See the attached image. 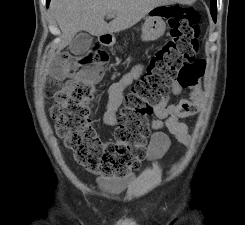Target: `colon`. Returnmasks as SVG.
<instances>
[{"label":"colon","mask_w":245,"mask_h":225,"mask_svg":"<svg viewBox=\"0 0 245 225\" xmlns=\"http://www.w3.org/2000/svg\"><path fill=\"white\" fill-rule=\"evenodd\" d=\"M171 39L150 58L141 77L126 97V105L118 118L115 143L103 146L91 125L94 88L86 82L95 73L74 76V64L105 67L107 52L92 48L80 57L64 55L47 85V92L55 97L50 115L55 122L57 136L62 139L74 160L89 172L105 177H123L145 155L150 134L148 120L157 105L169 93L173 82L191 90V97L178 102L179 117L196 115L201 107V86L205 65L196 60L200 16L193 8H166ZM177 166L172 167L175 172Z\"/></svg>","instance_id":"5ec220e1"}]
</instances>
